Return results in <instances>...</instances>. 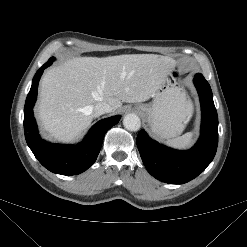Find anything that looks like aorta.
Wrapping results in <instances>:
<instances>
[{"label":"aorta","mask_w":247,"mask_h":247,"mask_svg":"<svg viewBox=\"0 0 247 247\" xmlns=\"http://www.w3.org/2000/svg\"><path fill=\"white\" fill-rule=\"evenodd\" d=\"M124 127L129 131H138L141 126L140 118L133 113L127 114L123 119Z\"/></svg>","instance_id":"obj_1"}]
</instances>
